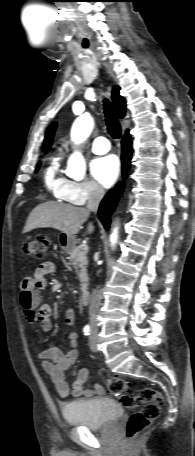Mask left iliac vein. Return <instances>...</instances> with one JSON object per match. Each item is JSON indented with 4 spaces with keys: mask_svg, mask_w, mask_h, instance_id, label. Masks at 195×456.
<instances>
[{
    "mask_svg": "<svg viewBox=\"0 0 195 456\" xmlns=\"http://www.w3.org/2000/svg\"><path fill=\"white\" fill-rule=\"evenodd\" d=\"M97 330L94 328L89 336V347L92 351L97 352Z\"/></svg>",
    "mask_w": 195,
    "mask_h": 456,
    "instance_id": "obj_1",
    "label": "left iliac vein"
}]
</instances>
